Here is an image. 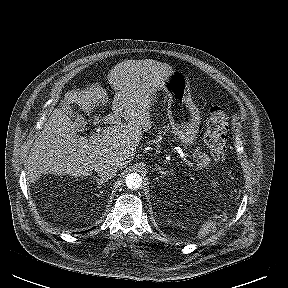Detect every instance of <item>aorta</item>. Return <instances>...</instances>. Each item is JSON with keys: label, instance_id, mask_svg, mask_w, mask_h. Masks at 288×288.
<instances>
[{"label": "aorta", "instance_id": "aorta-1", "mask_svg": "<svg viewBox=\"0 0 288 288\" xmlns=\"http://www.w3.org/2000/svg\"><path fill=\"white\" fill-rule=\"evenodd\" d=\"M125 183L131 190L139 189L142 186V177L138 173H131L127 175Z\"/></svg>", "mask_w": 288, "mask_h": 288}]
</instances>
